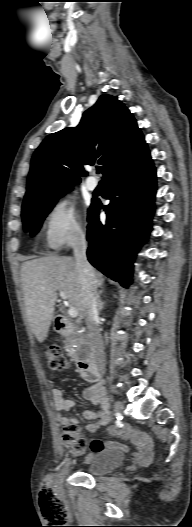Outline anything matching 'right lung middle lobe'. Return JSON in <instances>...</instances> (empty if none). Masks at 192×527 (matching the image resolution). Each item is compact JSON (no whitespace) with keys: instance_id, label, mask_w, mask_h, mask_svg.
<instances>
[{"instance_id":"right-lung-middle-lobe-1","label":"right lung middle lobe","mask_w":192,"mask_h":527,"mask_svg":"<svg viewBox=\"0 0 192 527\" xmlns=\"http://www.w3.org/2000/svg\"><path fill=\"white\" fill-rule=\"evenodd\" d=\"M63 194L40 203L22 207V219L24 224V230L29 231L31 235H35L38 232L47 214L54 207V204L56 203L57 199Z\"/></svg>"}]
</instances>
